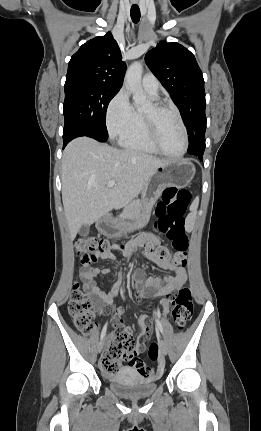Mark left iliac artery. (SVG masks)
<instances>
[{"label":"left iliac artery","mask_w":261,"mask_h":431,"mask_svg":"<svg viewBox=\"0 0 261 431\" xmlns=\"http://www.w3.org/2000/svg\"><path fill=\"white\" fill-rule=\"evenodd\" d=\"M155 323H156L157 330L160 331L161 333H163V328H162L161 322L157 316H155Z\"/></svg>","instance_id":"44dca946"}]
</instances>
